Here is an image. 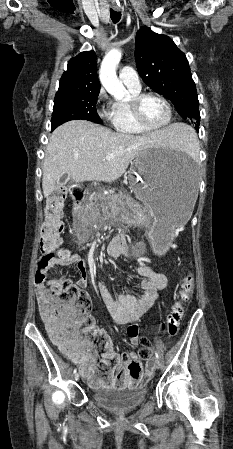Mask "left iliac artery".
<instances>
[{"label": "left iliac artery", "mask_w": 233, "mask_h": 449, "mask_svg": "<svg viewBox=\"0 0 233 449\" xmlns=\"http://www.w3.org/2000/svg\"><path fill=\"white\" fill-rule=\"evenodd\" d=\"M155 357H156L157 359H159V354H158L157 351H155Z\"/></svg>", "instance_id": "left-iliac-artery-1"}]
</instances>
